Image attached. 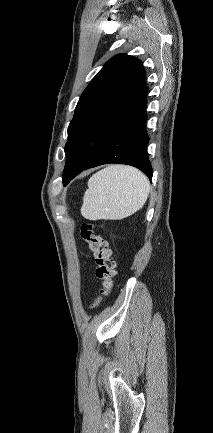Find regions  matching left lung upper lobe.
Listing matches in <instances>:
<instances>
[{
    "label": "left lung upper lobe",
    "instance_id": "left-lung-upper-lobe-1",
    "mask_svg": "<svg viewBox=\"0 0 213 433\" xmlns=\"http://www.w3.org/2000/svg\"><path fill=\"white\" fill-rule=\"evenodd\" d=\"M144 88L142 62L133 56L118 54L97 73L82 93L68 127L64 185L97 153Z\"/></svg>",
    "mask_w": 213,
    "mask_h": 433
}]
</instances>
